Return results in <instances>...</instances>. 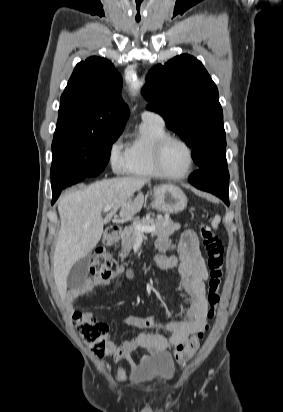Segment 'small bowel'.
<instances>
[{"label": "small bowel", "instance_id": "small-bowel-1", "mask_svg": "<svg viewBox=\"0 0 283 412\" xmlns=\"http://www.w3.org/2000/svg\"><path fill=\"white\" fill-rule=\"evenodd\" d=\"M157 247L160 251L171 250L178 254V258L166 257L158 264L161 268L177 270L186 310L183 318L175 320H159L140 315H129L124 318V323L131 328L148 330L152 327L165 326L170 330L169 336L158 331H144L121 343L113 341L107 343V355L114 361L127 363L133 375L139 373L151 357L168 356L172 348L178 349L175 356L180 363H184L195 349L187 350L189 342L195 339L198 332L204 330L207 323L208 303L205 284L208 273L200 254L196 233L185 230L174 240L161 238L157 242ZM123 273L131 282L135 281L133 270H125L123 266H118L110 277L86 281L80 288L73 290L72 295L79 297L92 294L96 288L110 285ZM83 314L92 317L89 311ZM137 350H144L147 354L137 358L134 355ZM124 376L125 371L121 369L118 378L123 379Z\"/></svg>", "mask_w": 283, "mask_h": 412}]
</instances>
